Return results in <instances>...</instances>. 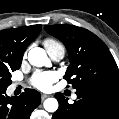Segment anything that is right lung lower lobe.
Segmentation results:
<instances>
[{
	"instance_id": "1",
	"label": "right lung lower lobe",
	"mask_w": 119,
	"mask_h": 119,
	"mask_svg": "<svg viewBox=\"0 0 119 119\" xmlns=\"http://www.w3.org/2000/svg\"><path fill=\"white\" fill-rule=\"evenodd\" d=\"M40 102V93L33 89H25L18 97H8L6 89L0 90V119H29Z\"/></svg>"
}]
</instances>
